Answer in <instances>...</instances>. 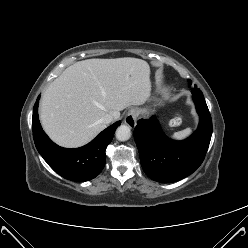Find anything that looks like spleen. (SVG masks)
<instances>
[{
  "label": "spleen",
  "mask_w": 248,
  "mask_h": 248,
  "mask_svg": "<svg viewBox=\"0 0 248 248\" xmlns=\"http://www.w3.org/2000/svg\"><path fill=\"white\" fill-rule=\"evenodd\" d=\"M191 133H192V129L186 128L184 130L173 133L171 137L175 140H183L187 138Z\"/></svg>",
  "instance_id": "3e777b00"
}]
</instances>
